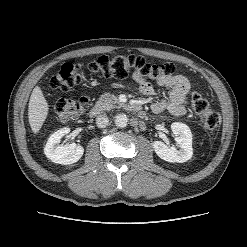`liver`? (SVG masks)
Here are the masks:
<instances>
[{
	"label": "liver",
	"mask_w": 247,
	"mask_h": 247,
	"mask_svg": "<svg viewBox=\"0 0 247 247\" xmlns=\"http://www.w3.org/2000/svg\"><path fill=\"white\" fill-rule=\"evenodd\" d=\"M49 111V105L39 86H36L29 100L28 119L34 134H37L45 122Z\"/></svg>",
	"instance_id": "liver-1"
}]
</instances>
